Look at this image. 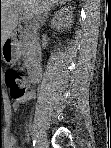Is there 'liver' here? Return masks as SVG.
<instances>
[{
	"instance_id": "6515ba94",
	"label": "liver",
	"mask_w": 111,
	"mask_h": 148,
	"mask_svg": "<svg viewBox=\"0 0 111 148\" xmlns=\"http://www.w3.org/2000/svg\"><path fill=\"white\" fill-rule=\"evenodd\" d=\"M58 0H3L1 5V42L4 44L20 20L23 8L27 18L34 17L39 11H46V6Z\"/></svg>"
}]
</instances>
